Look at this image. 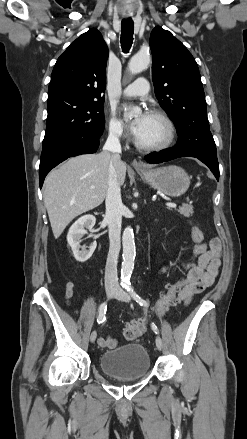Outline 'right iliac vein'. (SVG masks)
I'll use <instances>...</instances> for the list:
<instances>
[{
	"label": "right iliac vein",
	"instance_id": "right-iliac-vein-1",
	"mask_svg": "<svg viewBox=\"0 0 247 439\" xmlns=\"http://www.w3.org/2000/svg\"><path fill=\"white\" fill-rule=\"evenodd\" d=\"M115 293H116L115 288L113 287L106 288V295L108 299L112 298L115 295ZM96 337H97V333L96 331H93L90 336V341L93 343L96 340Z\"/></svg>",
	"mask_w": 247,
	"mask_h": 439
}]
</instances>
